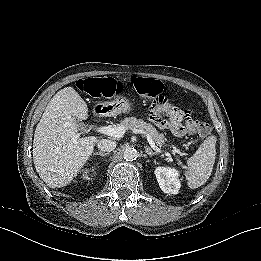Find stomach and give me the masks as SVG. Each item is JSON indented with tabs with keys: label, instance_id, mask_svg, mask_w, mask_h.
<instances>
[{
	"label": "stomach",
	"instance_id": "0dacf381",
	"mask_svg": "<svg viewBox=\"0 0 261 261\" xmlns=\"http://www.w3.org/2000/svg\"><path fill=\"white\" fill-rule=\"evenodd\" d=\"M104 112L129 113L131 111V104L124 97H117L111 101L100 103Z\"/></svg>",
	"mask_w": 261,
	"mask_h": 261
}]
</instances>
